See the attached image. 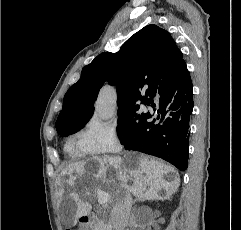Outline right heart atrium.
<instances>
[{
	"mask_svg": "<svg viewBox=\"0 0 241 230\" xmlns=\"http://www.w3.org/2000/svg\"><path fill=\"white\" fill-rule=\"evenodd\" d=\"M80 142L90 154H112L121 149L117 127L110 122H94L83 131Z\"/></svg>",
	"mask_w": 241,
	"mask_h": 230,
	"instance_id": "obj_1",
	"label": "right heart atrium"
}]
</instances>
